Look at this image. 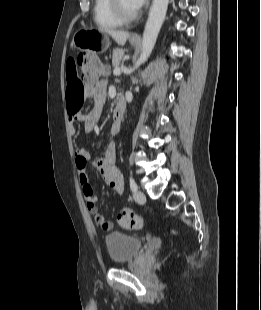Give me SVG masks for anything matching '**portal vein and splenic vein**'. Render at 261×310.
<instances>
[{"label": "portal vein and splenic vein", "instance_id": "18ae733b", "mask_svg": "<svg viewBox=\"0 0 261 310\" xmlns=\"http://www.w3.org/2000/svg\"><path fill=\"white\" fill-rule=\"evenodd\" d=\"M113 74L116 75V76H119V75L121 74L120 68L116 67V68L113 70Z\"/></svg>", "mask_w": 261, "mask_h": 310}]
</instances>
